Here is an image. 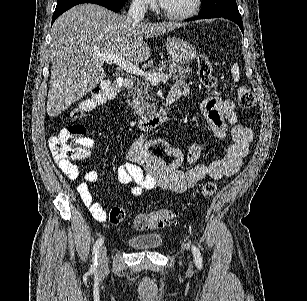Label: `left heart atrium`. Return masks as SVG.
<instances>
[{
  "label": "left heart atrium",
  "instance_id": "39dd6f15",
  "mask_svg": "<svg viewBox=\"0 0 307 301\" xmlns=\"http://www.w3.org/2000/svg\"><path fill=\"white\" fill-rule=\"evenodd\" d=\"M164 2L166 1V0H163ZM129 62H141V61H129Z\"/></svg>",
  "mask_w": 307,
  "mask_h": 301
}]
</instances>
